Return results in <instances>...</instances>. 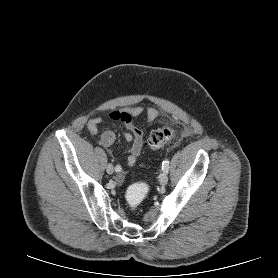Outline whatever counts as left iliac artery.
Listing matches in <instances>:
<instances>
[{"label": "left iliac artery", "mask_w": 278, "mask_h": 278, "mask_svg": "<svg viewBox=\"0 0 278 278\" xmlns=\"http://www.w3.org/2000/svg\"><path fill=\"white\" fill-rule=\"evenodd\" d=\"M162 170L166 173L168 172V170H169V160L168 159H165L162 162Z\"/></svg>", "instance_id": "left-iliac-artery-1"}]
</instances>
